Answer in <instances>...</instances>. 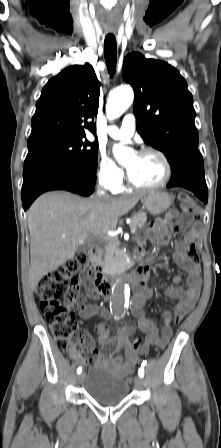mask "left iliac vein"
Listing matches in <instances>:
<instances>
[{
    "label": "left iliac vein",
    "instance_id": "left-iliac-vein-1",
    "mask_svg": "<svg viewBox=\"0 0 221 448\" xmlns=\"http://www.w3.org/2000/svg\"><path fill=\"white\" fill-rule=\"evenodd\" d=\"M134 385L136 388H140L143 385V379L140 376L134 378Z\"/></svg>",
    "mask_w": 221,
    "mask_h": 448
}]
</instances>
